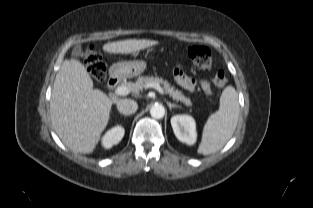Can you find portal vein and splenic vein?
Wrapping results in <instances>:
<instances>
[{
    "label": "portal vein and splenic vein",
    "instance_id": "portal-vein-and-splenic-vein-1",
    "mask_svg": "<svg viewBox=\"0 0 313 208\" xmlns=\"http://www.w3.org/2000/svg\"><path fill=\"white\" fill-rule=\"evenodd\" d=\"M147 87L156 89L162 95L165 94L163 88L159 84L150 83V84L147 85ZM129 92H130V89L128 87H126V86H118L115 89V93L117 95H120V96H125V95L129 94Z\"/></svg>",
    "mask_w": 313,
    "mask_h": 208
}]
</instances>
